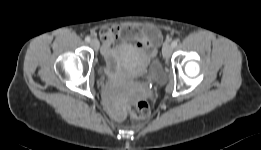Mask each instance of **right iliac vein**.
I'll return each mask as SVG.
<instances>
[{
    "label": "right iliac vein",
    "instance_id": "obj_1",
    "mask_svg": "<svg viewBox=\"0 0 261 150\" xmlns=\"http://www.w3.org/2000/svg\"><path fill=\"white\" fill-rule=\"evenodd\" d=\"M90 45L97 50L99 48V41L96 38H93L90 42Z\"/></svg>",
    "mask_w": 261,
    "mask_h": 150
}]
</instances>
